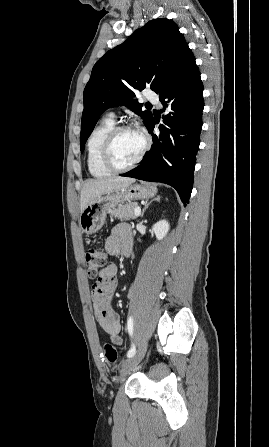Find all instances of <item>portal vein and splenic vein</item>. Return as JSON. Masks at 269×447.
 I'll return each mask as SVG.
<instances>
[{"label":"portal vein and splenic vein","mask_w":269,"mask_h":447,"mask_svg":"<svg viewBox=\"0 0 269 447\" xmlns=\"http://www.w3.org/2000/svg\"><path fill=\"white\" fill-rule=\"evenodd\" d=\"M134 214H135V216H137V218H138V216H140L141 208H139V206H136V208H134Z\"/></svg>","instance_id":"1"}]
</instances>
